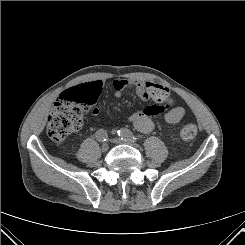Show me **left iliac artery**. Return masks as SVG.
Masks as SVG:
<instances>
[{
	"label": "left iliac artery",
	"instance_id": "1",
	"mask_svg": "<svg viewBox=\"0 0 245 245\" xmlns=\"http://www.w3.org/2000/svg\"><path fill=\"white\" fill-rule=\"evenodd\" d=\"M118 135L121 137L122 140L126 141V140H132L133 142H136L137 140H139L136 136H134V134L128 130V129H120L118 130Z\"/></svg>",
	"mask_w": 245,
	"mask_h": 245
}]
</instances>
